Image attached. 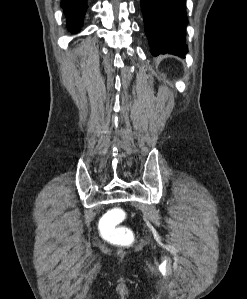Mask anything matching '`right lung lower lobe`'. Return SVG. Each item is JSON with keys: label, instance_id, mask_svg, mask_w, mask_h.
Here are the masks:
<instances>
[{"label": "right lung lower lobe", "instance_id": "98d812e1", "mask_svg": "<svg viewBox=\"0 0 247 299\" xmlns=\"http://www.w3.org/2000/svg\"><path fill=\"white\" fill-rule=\"evenodd\" d=\"M61 7L67 19L68 29L73 33L78 32L88 7L86 0H61Z\"/></svg>", "mask_w": 247, "mask_h": 299}]
</instances>
